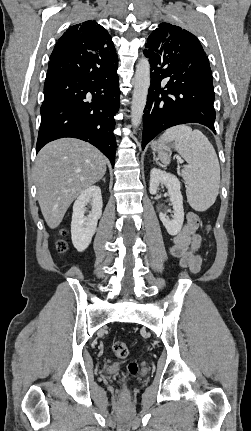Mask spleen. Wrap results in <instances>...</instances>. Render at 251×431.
<instances>
[{"mask_svg":"<svg viewBox=\"0 0 251 431\" xmlns=\"http://www.w3.org/2000/svg\"><path fill=\"white\" fill-rule=\"evenodd\" d=\"M159 141L176 144V150L188 163L181 171L188 203L196 211L207 210L214 204L220 185V166L213 145L201 131L188 125L169 128ZM159 157L162 163H170L166 152H160Z\"/></svg>","mask_w":251,"mask_h":431,"instance_id":"obj_1","label":"spleen"}]
</instances>
